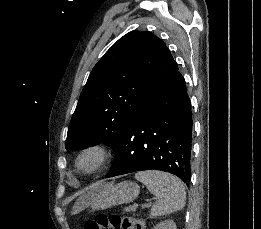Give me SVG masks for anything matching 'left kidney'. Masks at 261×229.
<instances>
[{
  "mask_svg": "<svg viewBox=\"0 0 261 229\" xmlns=\"http://www.w3.org/2000/svg\"><path fill=\"white\" fill-rule=\"evenodd\" d=\"M154 229H177V227L174 221H163V223H159V225H156Z\"/></svg>",
  "mask_w": 261,
  "mask_h": 229,
  "instance_id": "obj_1",
  "label": "left kidney"
}]
</instances>
